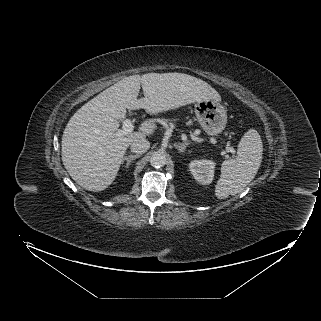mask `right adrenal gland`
Returning <instances> with one entry per match:
<instances>
[{
    "mask_svg": "<svg viewBox=\"0 0 321 321\" xmlns=\"http://www.w3.org/2000/svg\"><path fill=\"white\" fill-rule=\"evenodd\" d=\"M139 157H140L139 155H128V156H125V157L122 159V164L124 163V161H127V163H126V168H128L129 165H130V163H131L133 160H135V159H137V158H139Z\"/></svg>",
    "mask_w": 321,
    "mask_h": 321,
    "instance_id": "1",
    "label": "right adrenal gland"
}]
</instances>
